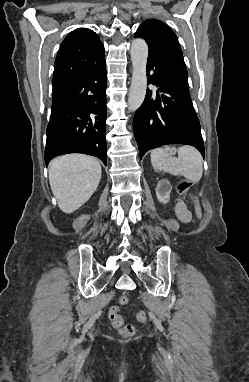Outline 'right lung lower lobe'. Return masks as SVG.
Here are the masks:
<instances>
[{"label":"right lung lower lobe","mask_w":249,"mask_h":382,"mask_svg":"<svg viewBox=\"0 0 249 382\" xmlns=\"http://www.w3.org/2000/svg\"><path fill=\"white\" fill-rule=\"evenodd\" d=\"M105 55L82 77L53 96L47 127L45 162L59 155L84 153L106 157Z\"/></svg>","instance_id":"98d812e1"}]
</instances>
